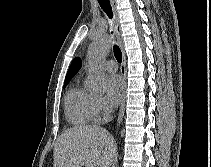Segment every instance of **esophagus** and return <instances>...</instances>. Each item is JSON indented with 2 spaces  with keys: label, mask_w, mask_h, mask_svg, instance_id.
<instances>
[{
  "label": "esophagus",
  "mask_w": 211,
  "mask_h": 167,
  "mask_svg": "<svg viewBox=\"0 0 211 167\" xmlns=\"http://www.w3.org/2000/svg\"><path fill=\"white\" fill-rule=\"evenodd\" d=\"M111 6L113 8L114 12V31L115 35L118 41V44L122 50V64H121V76L123 80V95H122V100H121V106L120 110L118 113V119H117V125L119 126L120 123L122 122L123 116H124V110H125V101H126V87H127V81H126V56L124 52V43H123V38H122V32H121V26H120V21H119V13L117 9V3L116 0H110Z\"/></svg>",
  "instance_id": "esophagus-1"
}]
</instances>
